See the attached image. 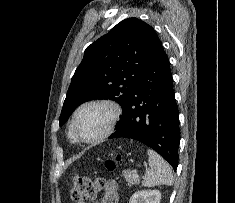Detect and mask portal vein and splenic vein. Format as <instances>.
Returning a JSON list of instances; mask_svg holds the SVG:
<instances>
[{
  "mask_svg": "<svg viewBox=\"0 0 235 203\" xmlns=\"http://www.w3.org/2000/svg\"><path fill=\"white\" fill-rule=\"evenodd\" d=\"M134 175L138 177V174H137V172H135V174H134Z\"/></svg>",
  "mask_w": 235,
  "mask_h": 203,
  "instance_id": "18ae733b",
  "label": "portal vein and splenic vein"
}]
</instances>
